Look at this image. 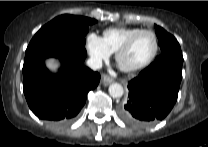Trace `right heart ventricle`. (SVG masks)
<instances>
[{"label":"right heart ventricle","instance_id":"obj_1","mask_svg":"<svg viewBox=\"0 0 208 147\" xmlns=\"http://www.w3.org/2000/svg\"><path fill=\"white\" fill-rule=\"evenodd\" d=\"M141 30L137 27H113L103 32V41L111 53L118 48L134 33Z\"/></svg>","mask_w":208,"mask_h":147}]
</instances>
